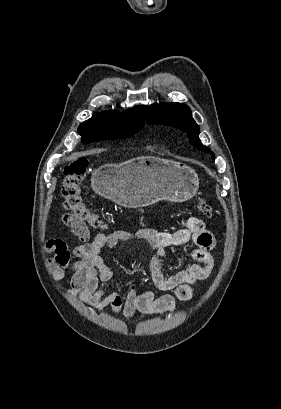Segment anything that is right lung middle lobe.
Instances as JSON below:
<instances>
[{
  "label": "right lung middle lobe",
  "instance_id": "right-lung-middle-lobe-1",
  "mask_svg": "<svg viewBox=\"0 0 281 409\" xmlns=\"http://www.w3.org/2000/svg\"><path fill=\"white\" fill-rule=\"evenodd\" d=\"M144 125L129 127H79L83 143L131 137L143 128Z\"/></svg>",
  "mask_w": 281,
  "mask_h": 409
}]
</instances>
